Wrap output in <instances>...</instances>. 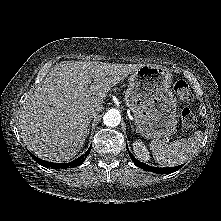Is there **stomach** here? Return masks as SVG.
Here are the masks:
<instances>
[{
	"instance_id": "1",
	"label": "stomach",
	"mask_w": 221,
	"mask_h": 221,
	"mask_svg": "<svg viewBox=\"0 0 221 221\" xmlns=\"http://www.w3.org/2000/svg\"><path fill=\"white\" fill-rule=\"evenodd\" d=\"M126 105L135 117L136 131L145 138H167L176 131L177 102L170 89L171 72L159 65H143L131 73Z\"/></svg>"
}]
</instances>
